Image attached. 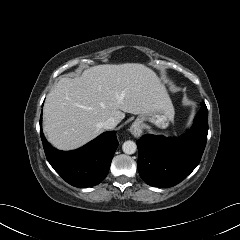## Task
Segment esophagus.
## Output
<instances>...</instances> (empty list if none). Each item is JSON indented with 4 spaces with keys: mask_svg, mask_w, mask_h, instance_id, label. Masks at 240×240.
<instances>
[{
    "mask_svg": "<svg viewBox=\"0 0 240 240\" xmlns=\"http://www.w3.org/2000/svg\"><path fill=\"white\" fill-rule=\"evenodd\" d=\"M130 132L135 136L139 137L142 134V124L140 120H136L130 127Z\"/></svg>",
    "mask_w": 240,
    "mask_h": 240,
    "instance_id": "esophagus-1",
    "label": "esophagus"
}]
</instances>
